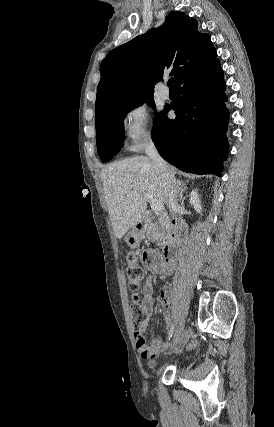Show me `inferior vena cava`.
<instances>
[{"label": "inferior vena cava", "mask_w": 274, "mask_h": 427, "mask_svg": "<svg viewBox=\"0 0 274 427\" xmlns=\"http://www.w3.org/2000/svg\"><path fill=\"white\" fill-rule=\"evenodd\" d=\"M145 154L146 156H149V158H151L153 164H155V166H158V168H160V170H162V172H168L169 170V166H167L166 162H164V160H162L161 156H159L153 142H149L146 150H145ZM178 194H176V192H171L170 196H169V202H168V208H169V212H171V215H175L178 208H179V204H178Z\"/></svg>", "instance_id": "1"}]
</instances>
